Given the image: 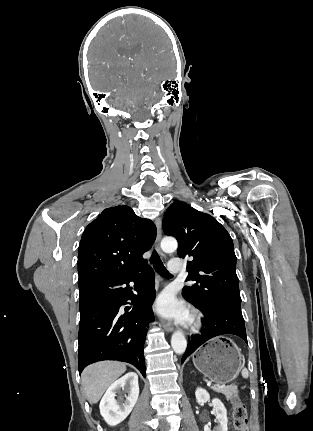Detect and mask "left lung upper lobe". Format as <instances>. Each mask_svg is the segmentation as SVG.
Wrapping results in <instances>:
<instances>
[{"label": "left lung upper lobe", "instance_id": "1", "mask_svg": "<svg viewBox=\"0 0 313 431\" xmlns=\"http://www.w3.org/2000/svg\"><path fill=\"white\" fill-rule=\"evenodd\" d=\"M163 229L177 239L178 256L191 259L186 281L192 283L182 291L187 301L198 309L241 305L233 241L215 218L177 201L165 212Z\"/></svg>", "mask_w": 313, "mask_h": 431}]
</instances>
